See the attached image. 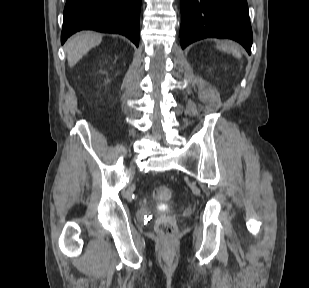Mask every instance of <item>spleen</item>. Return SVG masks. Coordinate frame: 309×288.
<instances>
[{"label": "spleen", "mask_w": 309, "mask_h": 288, "mask_svg": "<svg viewBox=\"0 0 309 288\" xmlns=\"http://www.w3.org/2000/svg\"><path fill=\"white\" fill-rule=\"evenodd\" d=\"M219 47L225 50L226 52L233 54L235 57L241 58L240 49L236 44L227 42L219 45Z\"/></svg>", "instance_id": "obj_1"}]
</instances>
